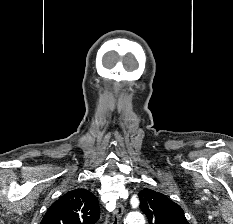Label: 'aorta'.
<instances>
[{
    "label": "aorta",
    "mask_w": 233,
    "mask_h": 224,
    "mask_svg": "<svg viewBox=\"0 0 233 224\" xmlns=\"http://www.w3.org/2000/svg\"><path fill=\"white\" fill-rule=\"evenodd\" d=\"M145 220L141 213L132 212L129 213L124 221V224H144Z\"/></svg>",
    "instance_id": "aorta-1"
}]
</instances>
